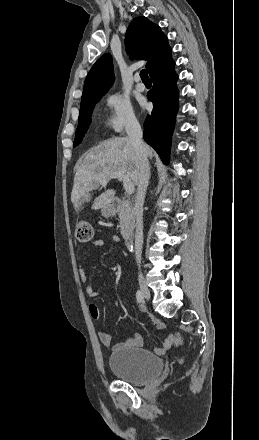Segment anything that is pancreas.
<instances>
[{
    "instance_id": "1",
    "label": "pancreas",
    "mask_w": 259,
    "mask_h": 440,
    "mask_svg": "<svg viewBox=\"0 0 259 440\" xmlns=\"http://www.w3.org/2000/svg\"><path fill=\"white\" fill-rule=\"evenodd\" d=\"M117 213L120 221L121 235L126 238L134 228L135 209L129 201L125 200L120 203Z\"/></svg>"
}]
</instances>
